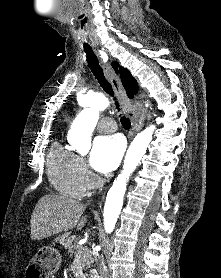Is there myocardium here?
<instances>
[{
	"label": "myocardium",
	"instance_id": "myocardium-1",
	"mask_svg": "<svg viewBox=\"0 0 221 278\" xmlns=\"http://www.w3.org/2000/svg\"><path fill=\"white\" fill-rule=\"evenodd\" d=\"M90 182H91V184H92L93 186H96V185H99V184H100V181H99L98 179H96V178L91 179Z\"/></svg>",
	"mask_w": 221,
	"mask_h": 278
}]
</instances>
